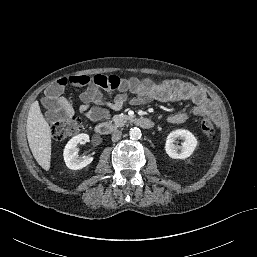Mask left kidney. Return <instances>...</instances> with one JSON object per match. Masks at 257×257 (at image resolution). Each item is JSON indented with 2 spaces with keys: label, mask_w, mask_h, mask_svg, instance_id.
<instances>
[{
  "label": "left kidney",
  "mask_w": 257,
  "mask_h": 257,
  "mask_svg": "<svg viewBox=\"0 0 257 257\" xmlns=\"http://www.w3.org/2000/svg\"><path fill=\"white\" fill-rule=\"evenodd\" d=\"M183 139L182 146L175 145L176 139ZM197 146V139L188 130L178 129L172 131L166 139L165 152L173 159H186L192 155Z\"/></svg>",
  "instance_id": "1"
}]
</instances>
